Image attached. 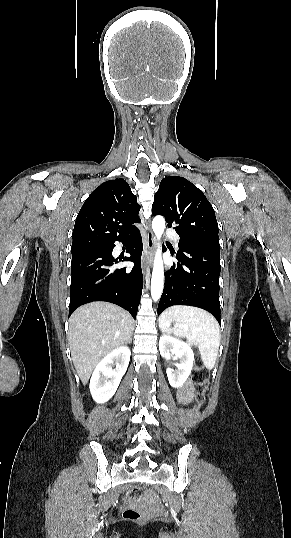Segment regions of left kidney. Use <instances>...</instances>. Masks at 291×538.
Returning <instances> with one entry per match:
<instances>
[{"label":"left kidney","mask_w":291,"mask_h":538,"mask_svg":"<svg viewBox=\"0 0 291 538\" xmlns=\"http://www.w3.org/2000/svg\"><path fill=\"white\" fill-rule=\"evenodd\" d=\"M159 351L165 359H171L172 355H175V359H179L178 370L175 371L173 368L168 367L166 373L172 387L179 388L183 386L191 374L194 363V352L190 344L163 334L159 339Z\"/></svg>","instance_id":"obj_1"}]
</instances>
